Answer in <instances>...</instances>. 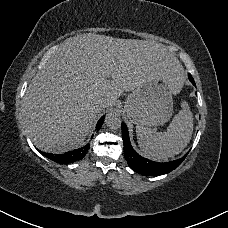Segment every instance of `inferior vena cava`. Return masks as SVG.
Listing matches in <instances>:
<instances>
[{
	"mask_svg": "<svg viewBox=\"0 0 228 228\" xmlns=\"http://www.w3.org/2000/svg\"><path fill=\"white\" fill-rule=\"evenodd\" d=\"M96 107H98L99 109L102 108V105H101V103L99 101L96 102Z\"/></svg>",
	"mask_w": 228,
	"mask_h": 228,
	"instance_id": "602c4592",
	"label": "inferior vena cava"
}]
</instances>
